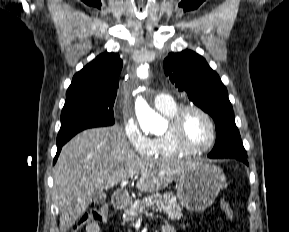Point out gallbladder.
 Masks as SVG:
<instances>
[{"label": "gallbladder", "mask_w": 289, "mask_h": 232, "mask_svg": "<svg viewBox=\"0 0 289 232\" xmlns=\"http://www.w3.org/2000/svg\"><path fill=\"white\" fill-rule=\"evenodd\" d=\"M106 199V194L103 192H96L93 197V202L96 204L102 203Z\"/></svg>", "instance_id": "gallbladder-1"}]
</instances>
